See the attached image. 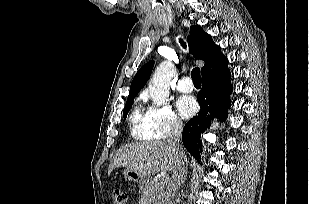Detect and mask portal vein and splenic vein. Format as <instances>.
<instances>
[{
	"instance_id": "18ae733b",
	"label": "portal vein and splenic vein",
	"mask_w": 309,
	"mask_h": 204,
	"mask_svg": "<svg viewBox=\"0 0 309 204\" xmlns=\"http://www.w3.org/2000/svg\"><path fill=\"white\" fill-rule=\"evenodd\" d=\"M162 180H163L164 183H167L168 178L167 177H163Z\"/></svg>"
}]
</instances>
